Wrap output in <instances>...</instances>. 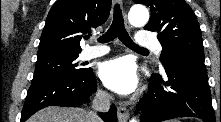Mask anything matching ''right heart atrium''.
Wrapping results in <instances>:
<instances>
[{
  "mask_svg": "<svg viewBox=\"0 0 221 122\" xmlns=\"http://www.w3.org/2000/svg\"><path fill=\"white\" fill-rule=\"evenodd\" d=\"M101 96H102V97H104V94H103V93H101Z\"/></svg>",
  "mask_w": 221,
  "mask_h": 122,
  "instance_id": "right-heart-atrium-1",
  "label": "right heart atrium"
}]
</instances>
